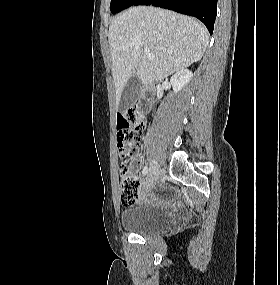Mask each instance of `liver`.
<instances>
[{
  "label": "liver",
  "instance_id": "1",
  "mask_svg": "<svg viewBox=\"0 0 280 285\" xmlns=\"http://www.w3.org/2000/svg\"><path fill=\"white\" fill-rule=\"evenodd\" d=\"M209 42L206 27L197 20L154 7H132L109 26L116 106L129 78L143 85L161 81L200 61ZM148 48L155 58L144 54Z\"/></svg>",
  "mask_w": 280,
  "mask_h": 285
}]
</instances>
